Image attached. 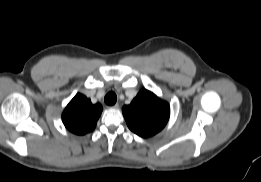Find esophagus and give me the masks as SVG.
Masks as SVG:
<instances>
[{"label": "esophagus", "mask_w": 261, "mask_h": 182, "mask_svg": "<svg viewBox=\"0 0 261 182\" xmlns=\"http://www.w3.org/2000/svg\"><path fill=\"white\" fill-rule=\"evenodd\" d=\"M118 107H119V104L116 103V104H114L113 106H110L109 108H111V109H117Z\"/></svg>", "instance_id": "34e87169"}]
</instances>
